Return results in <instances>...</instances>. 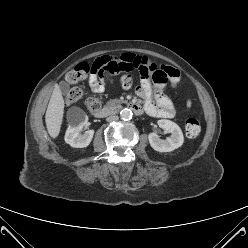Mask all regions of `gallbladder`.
Masks as SVG:
<instances>
[{
  "instance_id": "1",
  "label": "gallbladder",
  "mask_w": 248,
  "mask_h": 248,
  "mask_svg": "<svg viewBox=\"0 0 248 248\" xmlns=\"http://www.w3.org/2000/svg\"><path fill=\"white\" fill-rule=\"evenodd\" d=\"M60 89H61L62 93L66 94V93H68L70 86L66 82H61L60 83Z\"/></svg>"
}]
</instances>
